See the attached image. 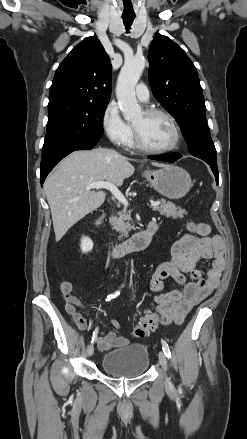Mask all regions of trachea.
I'll use <instances>...</instances> for the list:
<instances>
[{
  "label": "trachea",
  "mask_w": 247,
  "mask_h": 439,
  "mask_svg": "<svg viewBox=\"0 0 247 439\" xmlns=\"http://www.w3.org/2000/svg\"><path fill=\"white\" fill-rule=\"evenodd\" d=\"M135 16H123L124 25L127 30L130 29L131 24L133 23Z\"/></svg>",
  "instance_id": "3493384b"
}]
</instances>
